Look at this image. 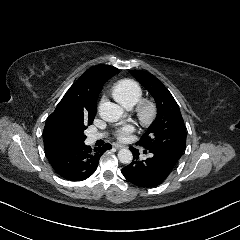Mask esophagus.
Returning <instances> with one entry per match:
<instances>
[{
    "mask_svg": "<svg viewBox=\"0 0 240 240\" xmlns=\"http://www.w3.org/2000/svg\"><path fill=\"white\" fill-rule=\"evenodd\" d=\"M115 148L116 149H121V148H127V146L121 145V144H117V145H115Z\"/></svg>",
    "mask_w": 240,
    "mask_h": 240,
    "instance_id": "esophagus-1",
    "label": "esophagus"
}]
</instances>
